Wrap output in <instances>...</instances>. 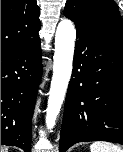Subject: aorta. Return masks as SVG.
I'll return each instance as SVG.
<instances>
[{
    "label": "aorta",
    "mask_w": 123,
    "mask_h": 152,
    "mask_svg": "<svg viewBox=\"0 0 123 152\" xmlns=\"http://www.w3.org/2000/svg\"><path fill=\"white\" fill-rule=\"evenodd\" d=\"M75 39L72 21L61 20L55 35L53 76L46 109V126L50 130L55 126L71 78Z\"/></svg>",
    "instance_id": "aorta-1"
}]
</instances>
